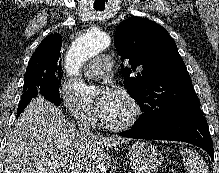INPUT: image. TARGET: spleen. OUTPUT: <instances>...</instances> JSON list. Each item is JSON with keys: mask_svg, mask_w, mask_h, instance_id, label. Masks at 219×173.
<instances>
[{"mask_svg": "<svg viewBox=\"0 0 219 173\" xmlns=\"http://www.w3.org/2000/svg\"><path fill=\"white\" fill-rule=\"evenodd\" d=\"M180 153L183 156L184 165L190 173H207V169L199 156L191 150L181 147Z\"/></svg>", "mask_w": 219, "mask_h": 173, "instance_id": "spleen-1", "label": "spleen"}]
</instances>
